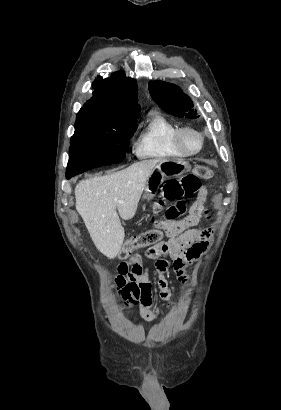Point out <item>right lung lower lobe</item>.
Segmentation results:
<instances>
[{"label": "right lung lower lobe", "instance_id": "right-lung-lower-lobe-1", "mask_svg": "<svg viewBox=\"0 0 281 410\" xmlns=\"http://www.w3.org/2000/svg\"><path fill=\"white\" fill-rule=\"evenodd\" d=\"M72 177V175H66V178L67 179H69V178H71Z\"/></svg>", "mask_w": 281, "mask_h": 410}]
</instances>
